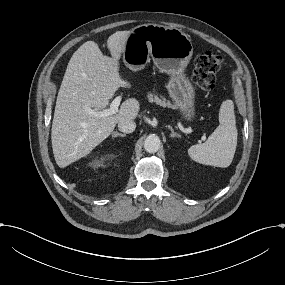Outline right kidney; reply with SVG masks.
<instances>
[{"instance_id":"1","label":"right kidney","mask_w":285,"mask_h":285,"mask_svg":"<svg viewBox=\"0 0 285 285\" xmlns=\"http://www.w3.org/2000/svg\"><path fill=\"white\" fill-rule=\"evenodd\" d=\"M103 160H104V159H101L100 161H97L96 163H97V164H101Z\"/></svg>"}]
</instances>
